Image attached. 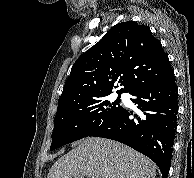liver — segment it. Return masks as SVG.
<instances>
[{"mask_svg":"<svg viewBox=\"0 0 194 178\" xmlns=\"http://www.w3.org/2000/svg\"><path fill=\"white\" fill-rule=\"evenodd\" d=\"M155 178L154 163L134 149L105 138L88 137L59 158L47 178Z\"/></svg>","mask_w":194,"mask_h":178,"instance_id":"liver-1","label":"liver"}]
</instances>
